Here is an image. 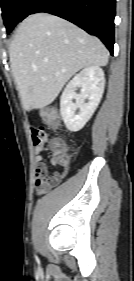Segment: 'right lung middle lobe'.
<instances>
[{"label":"right lung middle lobe","instance_id":"obj_1","mask_svg":"<svg viewBox=\"0 0 134 281\" xmlns=\"http://www.w3.org/2000/svg\"><path fill=\"white\" fill-rule=\"evenodd\" d=\"M33 0H1L2 16L7 32L24 19L25 11Z\"/></svg>","mask_w":134,"mask_h":281}]
</instances>
